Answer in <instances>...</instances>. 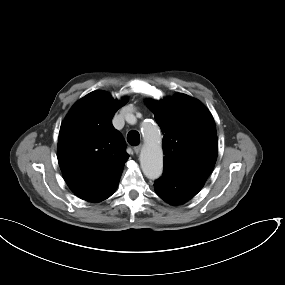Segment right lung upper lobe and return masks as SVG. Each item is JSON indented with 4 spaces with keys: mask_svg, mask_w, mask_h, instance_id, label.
I'll return each mask as SVG.
<instances>
[{
    "mask_svg": "<svg viewBox=\"0 0 285 285\" xmlns=\"http://www.w3.org/2000/svg\"><path fill=\"white\" fill-rule=\"evenodd\" d=\"M94 91L74 104L58 139V162L74 194L100 202L116 190L129 155L123 136L112 125L115 112L127 103Z\"/></svg>",
    "mask_w": 285,
    "mask_h": 285,
    "instance_id": "cb5924a9",
    "label": "right lung upper lobe"
}]
</instances>
